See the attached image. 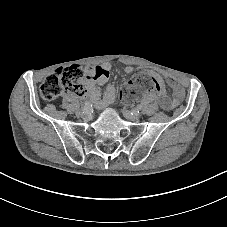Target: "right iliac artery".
I'll return each instance as SVG.
<instances>
[{
  "instance_id": "82829eb1",
  "label": "right iliac artery",
  "mask_w": 227,
  "mask_h": 227,
  "mask_svg": "<svg viewBox=\"0 0 227 227\" xmlns=\"http://www.w3.org/2000/svg\"><path fill=\"white\" fill-rule=\"evenodd\" d=\"M91 108H92V105L89 102H86L83 109L84 115H89L92 112Z\"/></svg>"
}]
</instances>
